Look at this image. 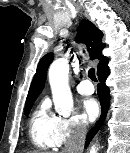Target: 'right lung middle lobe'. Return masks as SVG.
Here are the masks:
<instances>
[{"mask_svg":"<svg viewBox=\"0 0 130 153\" xmlns=\"http://www.w3.org/2000/svg\"><path fill=\"white\" fill-rule=\"evenodd\" d=\"M33 103H34V102H30V103L26 104V106H25V115H26V116L29 114V112H30V110H31V107H32Z\"/></svg>","mask_w":130,"mask_h":153,"instance_id":"obj_1","label":"right lung middle lobe"}]
</instances>
